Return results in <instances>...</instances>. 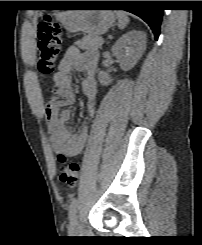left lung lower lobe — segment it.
Listing matches in <instances>:
<instances>
[{
  "instance_id": "left-lung-lower-lobe-1",
  "label": "left lung lower lobe",
  "mask_w": 202,
  "mask_h": 245,
  "mask_svg": "<svg viewBox=\"0 0 202 245\" xmlns=\"http://www.w3.org/2000/svg\"><path fill=\"white\" fill-rule=\"evenodd\" d=\"M86 4L88 6L124 7L125 11L139 16L150 26L156 40L159 37L163 10L152 6L151 1H86Z\"/></svg>"
}]
</instances>
